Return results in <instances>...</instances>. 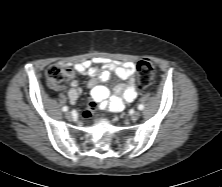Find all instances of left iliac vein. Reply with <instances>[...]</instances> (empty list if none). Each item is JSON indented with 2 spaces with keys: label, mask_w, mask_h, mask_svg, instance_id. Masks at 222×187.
Segmentation results:
<instances>
[{
  "label": "left iliac vein",
  "mask_w": 222,
  "mask_h": 187,
  "mask_svg": "<svg viewBox=\"0 0 222 187\" xmlns=\"http://www.w3.org/2000/svg\"><path fill=\"white\" fill-rule=\"evenodd\" d=\"M141 116L140 111H135L132 115H131V120L132 121H136L139 117Z\"/></svg>",
  "instance_id": "left-iliac-vein-1"
}]
</instances>
